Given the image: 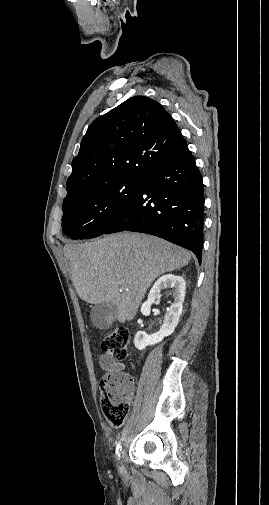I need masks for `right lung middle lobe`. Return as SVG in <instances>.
<instances>
[{
  "mask_svg": "<svg viewBox=\"0 0 269 505\" xmlns=\"http://www.w3.org/2000/svg\"><path fill=\"white\" fill-rule=\"evenodd\" d=\"M139 184V180H118L93 186L64 200V234L73 239L104 234L134 198Z\"/></svg>",
  "mask_w": 269,
  "mask_h": 505,
  "instance_id": "right-lung-middle-lobe-1",
  "label": "right lung middle lobe"
}]
</instances>
